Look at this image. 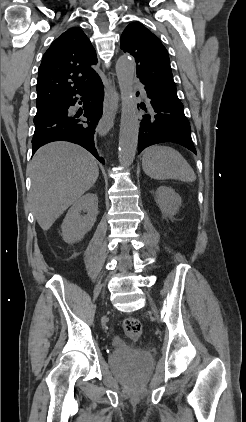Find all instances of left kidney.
<instances>
[{"label":"left kidney","mask_w":246,"mask_h":422,"mask_svg":"<svg viewBox=\"0 0 246 422\" xmlns=\"http://www.w3.org/2000/svg\"><path fill=\"white\" fill-rule=\"evenodd\" d=\"M156 203L166 216H174L182 204L179 194L171 187L160 186L156 190Z\"/></svg>","instance_id":"obj_1"}]
</instances>
